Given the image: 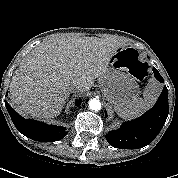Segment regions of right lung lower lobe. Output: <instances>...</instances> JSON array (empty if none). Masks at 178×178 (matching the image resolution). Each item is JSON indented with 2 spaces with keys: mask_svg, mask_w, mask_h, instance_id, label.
<instances>
[{
  "mask_svg": "<svg viewBox=\"0 0 178 178\" xmlns=\"http://www.w3.org/2000/svg\"><path fill=\"white\" fill-rule=\"evenodd\" d=\"M80 103L81 100L76 101V106H79ZM5 105L17 130L32 140L53 142L61 140L67 134L65 128L62 126H52L34 120H26L21 117L7 102H5Z\"/></svg>",
  "mask_w": 178,
  "mask_h": 178,
  "instance_id": "obj_1",
  "label": "right lung lower lobe"
}]
</instances>
